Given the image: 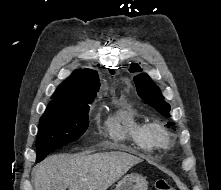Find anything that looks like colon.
<instances>
[{"instance_id":"1","label":"colon","mask_w":221,"mask_h":190,"mask_svg":"<svg viewBox=\"0 0 221 190\" xmlns=\"http://www.w3.org/2000/svg\"><path fill=\"white\" fill-rule=\"evenodd\" d=\"M153 190H175L166 180L159 179L154 183Z\"/></svg>"}]
</instances>
